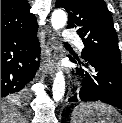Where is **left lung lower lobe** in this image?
<instances>
[{
  "label": "left lung lower lobe",
  "mask_w": 122,
  "mask_h": 123,
  "mask_svg": "<svg viewBox=\"0 0 122 123\" xmlns=\"http://www.w3.org/2000/svg\"><path fill=\"white\" fill-rule=\"evenodd\" d=\"M71 62L82 64L88 70L76 68L83 78L79 94L69 98L71 102L101 101L122 110V66L120 60L100 55H89L83 63L77 55L69 56Z\"/></svg>",
  "instance_id": "left-lung-lower-lobe-1"
}]
</instances>
